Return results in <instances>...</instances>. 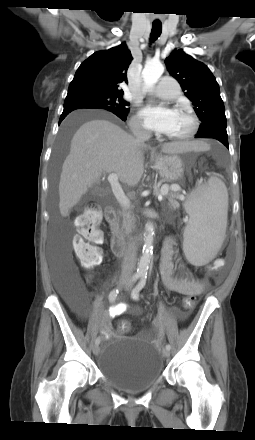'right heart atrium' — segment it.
Returning a JSON list of instances; mask_svg holds the SVG:
<instances>
[{
  "mask_svg": "<svg viewBox=\"0 0 255 440\" xmlns=\"http://www.w3.org/2000/svg\"><path fill=\"white\" fill-rule=\"evenodd\" d=\"M130 128L134 133L146 132V127L138 115H134L130 121Z\"/></svg>",
  "mask_w": 255,
  "mask_h": 440,
  "instance_id": "1",
  "label": "right heart atrium"
}]
</instances>
